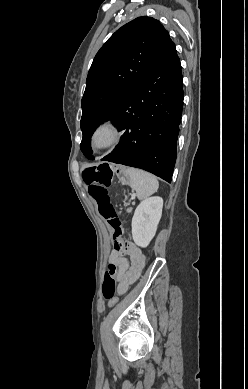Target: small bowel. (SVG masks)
<instances>
[{
	"label": "small bowel",
	"instance_id": "1",
	"mask_svg": "<svg viewBox=\"0 0 248 389\" xmlns=\"http://www.w3.org/2000/svg\"><path fill=\"white\" fill-rule=\"evenodd\" d=\"M124 254L130 255V266L123 257ZM109 261L119 268L117 292L124 294L128 287L139 278L146 264V257L136 245L125 241L120 250L114 249L111 252Z\"/></svg>",
	"mask_w": 248,
	"mask_h": 389
}]
</instances>
